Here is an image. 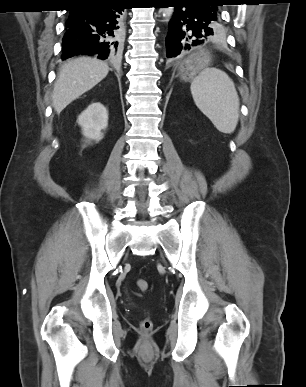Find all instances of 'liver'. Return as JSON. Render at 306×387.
Listing matches in <instances>:
<instances>
[{"label": "liver", "mask_w": 306, "mask_h": 387, "mask_svg": "<svg viewBox=\"0 0 306 387\" xmlns=\"http://www.w3.org/2000/svg\"><path fill=\"white\" fill-rule=\"evenodd\" d=\"M107 63L79 57L63 64L54 85L52 105L60 113L72 101L91 90L108 74Z\"/></svg>", "instance_id": "obj_1"}]
</instances>
